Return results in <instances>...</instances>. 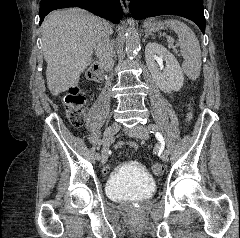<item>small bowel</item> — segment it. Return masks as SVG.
I'll list each match as a JSON object with an SVG mask.
<instances>
[{"mask_svg": "<svg viewBox=\"0 0 240 238\" xmlns=\"http://www.w3.org/2000/svg\"><path fill=\"white\" fill-rule=\"evenodd\" d=\"M142 147H143L142 143H130V148H142ZM122 148H123V143H116V147H115L116 151H121ZM113 165H114L113 161H108L107 164H104L103 168L105 170H103V172H102L103 175H108L109 168H110V166H113Z\"/></svg>", "mask_w": 240, "mask_h": 238, "instance_id": "obj_1", "label": "small bowel"}]
</instances>
